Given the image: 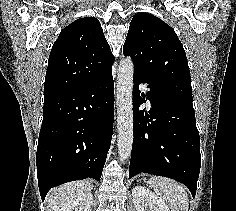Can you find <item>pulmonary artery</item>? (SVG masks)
<instances>
[{
  "instance_id": "pulmonary-artery-1",
  "label": "pulmonary artery",
  "mask_w": 236,
  "mask_h": 211,
  "mask_svg": "<svg viewBox=\"0 0 236 211\" xmlns=\"http://www.w3.org/2000/svg\"><path fill=\"white\" fill-rule=\"evenodd\" d=\"M144 90L147 91V87H144Z\"/></svg>"
}]
</instances>
